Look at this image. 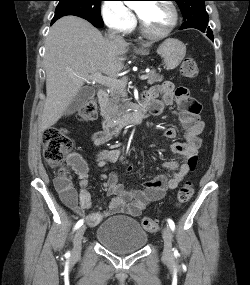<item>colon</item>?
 <instances>
[{"label": "colon", "mask_w": 250, "mask_h": 285, "mask_svg": "<svg viewBox=\"0 0 250 285\" xmlns=\"http://www.w3.org/2000/svg\"><path fill=\"white\" fill-rule=\"evenodd\" d=\"M180 71L185 78H195L199 69L193 58H185L181 64ZM97 114V103L95 100H88L79 110V116L84 120H92ZM73 144L65 130L61 128H50L43 135V155L45 162L51 167H59V176L64 179L67 170L62 167L65 160L72 152ZM197 163V157L191 156L188 160L190 170H193ZM194 193L193 185L190 182L184 183L178 190L177 202L179 205L187 203ZM142 227L148 232L158 230V222L150 217L141 220Z\"/></svg>", "instance_id": "obj_1"}]
</instances>
